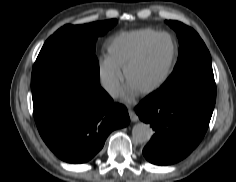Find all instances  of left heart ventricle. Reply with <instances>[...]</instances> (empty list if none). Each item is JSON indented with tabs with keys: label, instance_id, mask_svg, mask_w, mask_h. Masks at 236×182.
<instances>
[{
	"label": "left heart ventricle",
	"instance_id": "left-heart-ventricle-1",
	"mask_svg": "<svg viewBox=\"0 0 236 182\" xmlns=\"http://www.w3.org/2000/svg\"><path fill=\"white\" fill-rule=\"evenodd\" d=\"M170 41L161 36L152 50L131 73V81L135 86L146 87L161 78L170 60Z\"/></svg>",
	"mask_w": 236,
	"mask_h": 182
}]
</instances>
